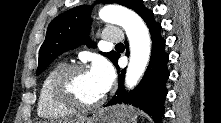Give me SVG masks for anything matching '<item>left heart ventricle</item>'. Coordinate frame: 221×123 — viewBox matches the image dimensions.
I'll return each mask as SVG.
<instances>
[{"label": "left heart ventricle", "instance_id": "1", "mask_svg": "<svg viewBox=\"0 0 221 123\" xmlns=\"http://www.w3.org/2000/svg\"><path fill=\"white\" fill-rule=\"evenodd\" d=\"M70 90L84 103L96 102L104 94L89 71L75 74L70 81Z\"/></svg>", "mask_w": 221, "mask_h": 123}]
</instances>
